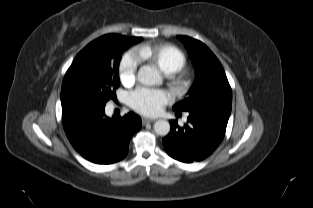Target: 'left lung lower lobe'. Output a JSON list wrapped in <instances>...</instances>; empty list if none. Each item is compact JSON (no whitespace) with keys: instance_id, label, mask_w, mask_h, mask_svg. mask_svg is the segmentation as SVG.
<instances>
[{"instance_id":"left-lung-lower-lobe-1","label":"left lung lower lobe","mask_w":313,"mask_h":208,"mask_svg":"<svg viewBox=\"0 0 313 208\" xmlns=\"http://www.w3.org/2000/svg\"><path fill=\"white\" fill-rule=\"evenodd\" d=\"M230 114L201 110L189 112L188 124L171 120L170 133L163 139L166 152L174 159L191 163L208 157L221 143Z\"/></svg>"}]
</instances>
